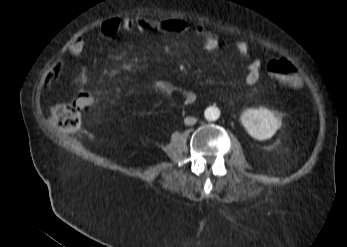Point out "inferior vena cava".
Masks as SVG:
<instances>
[{"instance_id":"inferior-vena-cava-1","label":"inferior vena cava","mask_w":347,"mask_h":247,"mask_svg":"<svg viewBox=\"0 0 347 247\" xmlns=\"http://www.w3.org/2000/svg\"><path fill=\"white\" fill-rule=\"evenodd\" d=\"M196 122H197V119L194 118V117H186V118L184 119V123H185L186 125H194Z\"/></svg>"}]
</instances>
